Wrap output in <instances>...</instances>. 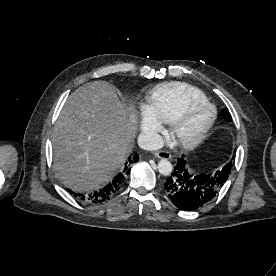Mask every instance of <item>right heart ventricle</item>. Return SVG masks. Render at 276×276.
<instances>
[{
	"mask_svg": "<svg viewBox=\"0 0 276 276\" xmlns=\"http://www.w3.org/2000/svg\"><path fill=\"white\" fill-rule=\"evenodd\" d=\"M206 99L197 88L182 82L160 85L152 92L147 112L158 121L171 123L191 101Z\"/></svg>",
	"mask_w": 276,
	"mask_h": 276,
	"instance_id": "e07e8e85",
	"label": "right heart ventricle"
}]
</instances>
